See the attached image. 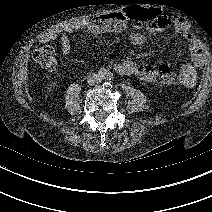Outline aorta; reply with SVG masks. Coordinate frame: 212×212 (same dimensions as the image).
I'll list each match as a JSON object with an SVG mask.
<instances>
[{
  "label": "aorta",
  "mask_w": 212,
  "mask_h": 212,
  "mask_svg": "<svg viewBox=\"0 0 212 212\" xmlns=\"http://www.w3.org/2000/svg\"><path fill=\"white\" fill-rule=\"evenodd\" d=\"M106 78H109V79H110V78H111V76H110V75H106Z\"/></svg>",
  "instance_id": "1"
}]
</instances>
